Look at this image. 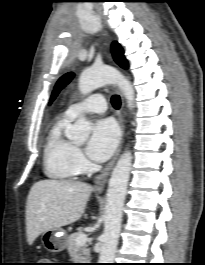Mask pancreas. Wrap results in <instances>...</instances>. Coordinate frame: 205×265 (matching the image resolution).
Returning a JSON list of instances; mask_svg holds the SVG:
<instances>
[{
	"label": "pancreas",
	"instance_id": "obj_1",
	"mask_svg": "<svg viewBox=\"0 0 205 265\" xmlns=\"http://www.w3.org/2000/svg\"><path fill=\"white\" fill-rule=\"evenodd\" d=\"M79 234H82V232H76L71 234L67 239V250L69 255L71 256L72 260L75 261V263H89L91 260L90 258V249L87 247V245L79 246L76 243V238Z\"/></svg>",
	"mask_w": 205,
	"mask_h": 265
}]
</instances>
